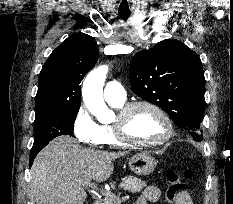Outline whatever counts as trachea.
Wrapping results in <instances>:
<instances>
[{
    "instance_id": "1",
    "label": "trachea",
    "mask_w": 233,
    "mask_h": 204,
    "mask_svg": "<svg viewBox=\"0 0 233 204\" xmlns=\"http://www.w3.org/2000/svg\"><path fill=\"white\" fill-rule=\"evenodd\" d=\"M119 16L123 19V20H127L130 17V13H119Z\"/></svg>"
}]
</instances>
